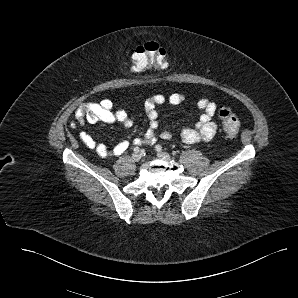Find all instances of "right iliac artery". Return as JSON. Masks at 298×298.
<instances>
[{"label": "right iliac artery", "instance_id": "right-iliac-artery-1", "mask_svg": "<svg viewBox=\"0 0 298 298\" xmlns=\"http://www.w3.org/2000/svg\"><path fill=\"white\" fill-rule=\"evenodd\" d=\"M139 150H140L139 147H135V148H134V152H135V153H138Z\"/></svg>", "mask_w": 298, "mask_h": 298}]
</instances>
